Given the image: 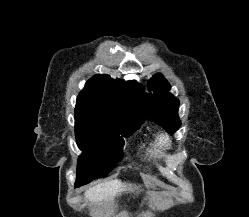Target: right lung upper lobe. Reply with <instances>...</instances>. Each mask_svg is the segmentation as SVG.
<instances>
[{"label": "right lung upper lobe", "mask_w": 249, "mask_h": 217, "mask_svg": "<svg viewBox=\"0 0 249 217\" xmlns=\"http://www.w3.org/2000/svg\"><path fill=\"white\" fill-rule=\"evenodd\" d=\"M77 107H87L111 115L129 126L145 120V94L135 81L124 82L109 75H95L80 92Z\"/></svg>", "instance_id": "obj_1"}]
</instances>
